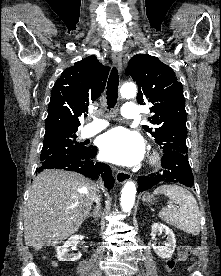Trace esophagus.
Listing matches in <instances>:
<instances>
[{
    "mask_svg": "<svg viewBox=\"0 0 221 276\" xmlns=\"http://www.w3.org/2000/svg\"><path fill=\"white\" fill-rule=\"evenodd\" d=\"M112 60L116 65L119 73H122V54L118 51H114L112 53ZM130 179V174L128 172L119 170L116 173V181L118 184H124L126 181Z\"/></svg>",
    "mask_w": 221,
    "mask_h": 276,
    "instance_id": "34e87169",
    "label": "esophagus"
}]
</instances>
